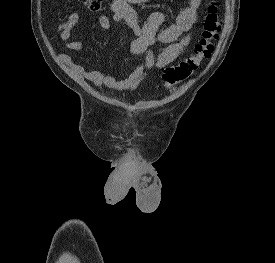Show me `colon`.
<instances>
[{"label": "colon", "instance_id": "obj_1", "mask_svg": "<svg viewBox=\"0 0 275 263\" xmlns=\"http://www.w3.org/2000/svg\"><path fill=\"white\" fill-rule=\"evenodd\" d=\"M91 11L98 12L103 7L104 0H79ZM221 18L217 5L212 2L208 7V13L203 25L202 37L195 46L194 52L175 65L168 66L162 74L160 87L164 89L186 80L194 74L204 60L210 58L214 51V41L221 31Z\"/></svg>", "mask_w": 275, "mask_h": 263}]
</instances>
